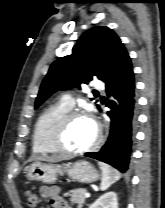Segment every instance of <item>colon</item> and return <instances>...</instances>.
<instances>
[{
  "label": "colon",
  "instance_id": "obj_1",
  "mask_svg": "<svg viewBox=\"0 0 165 208\" xmlns=\"http://www.w3.org/2000/svg\"><path fill=\"white\" fill-rule=\"evenodd\" d=\"M25 196H26L28 206L31 207V208L36 207V205L39 202L37 194L32 192V191H27L25 193Z\"/></svg>",
  "mask_w": 165,
  "mask_h": 208
}]
</instances>
